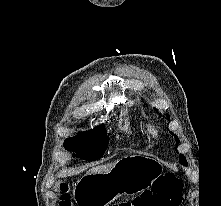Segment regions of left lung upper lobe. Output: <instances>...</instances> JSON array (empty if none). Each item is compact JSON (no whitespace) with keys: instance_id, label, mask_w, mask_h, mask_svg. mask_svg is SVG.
<instances>
[{"instance_id":"obj_1","label":"left lung upper lobe","mask_w":221,"mask_h":206,"mask_svg":"<svg viewBox=\"0 0 221 206\" xmlns=\"http://www.w3.org/2000/svg\"><path fill=\"white\" fill-rule=\"evenodd\" d=\"M167 116H168V118H169V115H168V114H167ZM171 134L174 135V133H172V132H171ZM174 136H175V139H176V145H178L179 139H178V137H177L176 135H174ZM179 162H180L181 164L185 165V166L188 165V163H187V161H186V158H185L184 155H182V154H180V160H179Z\"/></svg>"}]
</instances>
